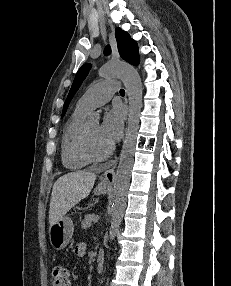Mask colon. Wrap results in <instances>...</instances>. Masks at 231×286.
Instances as JSON below:
<instances>
[{"label":"colon","instance_id":"5ec220e1","mask_svg":"<svg viewBox=\"0 0 231 286\" xmlns=\"http://www.w3.org/2000/svg\"><path fill=\"white\" fill-rule=\"evenodd\" d=\"M53 286H70V272L61 265L55 266L52 271Z\"/></svg>","mask_w":231,"mask_h":286}]
</instances>
